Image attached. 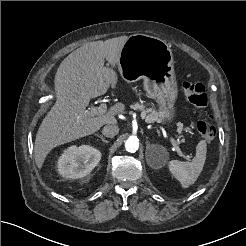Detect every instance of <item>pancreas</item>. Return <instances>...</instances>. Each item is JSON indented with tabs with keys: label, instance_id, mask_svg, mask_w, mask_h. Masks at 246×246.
Segmentation results:
<instances>
[{
	"label": "pancreas",
	"instance_id": "cf45deb5",
	"mask_svg": "<svg viewBox=\"0 0 246 246\" xmlns=\"http://www.w3.org/2000/svg\"><path fill=\"white\" fill-rule=\"evenodd\" d=\"M131 108L134 110H140L142 117H144L148 123L164 122L169 116L168 112L164 109H160L159 111H156L154 108L145 109V106L139 103L131 105Z\"/></svg>",
	"mask_w": 246,
	"mask_h": 246
}]
</instances>
